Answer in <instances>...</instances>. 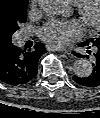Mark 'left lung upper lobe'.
Segmentation results:
<instances>
[{
	"label": "left lung upper lobe",
	"instance_id": "1",
	"mask_svg": "<svg viewBox=\"0 0 100 118\" xmlns=\"http://www.w3.org/2000/svg\"><path fill=\"white\" fill-rule=\"evenodd\" d=\"M97 39H100V37L97 38ZM94 40H96V39L93 38V39H89V40H87V41H94Z\"/></svg>",
	"mask_w": 100,
	"mask_h": 118
}]
</instances>
